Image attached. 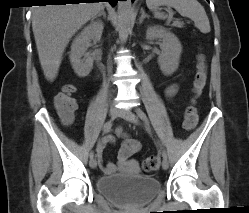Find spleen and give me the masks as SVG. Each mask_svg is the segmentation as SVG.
Segmentation results:
<instances>
[{"label": "spleen", "mask_w": 249, "mask_h": 213, "mask_svg": "<svg viewBox=\"0 0 249 213\" xmlns=\"http://www.w3.org/2000/svg\"><path fill=\"white\" fill-rule=\"evenodd\" d=\"M147 7L153 11L156 18L165 19L167 16L158 11L160 6L175 8L180 15L194 21L195 26L202 32H210V23L203 6L197 0H146Z\"/></svg>", "instance_id": "obj_1"}]
</instances>
